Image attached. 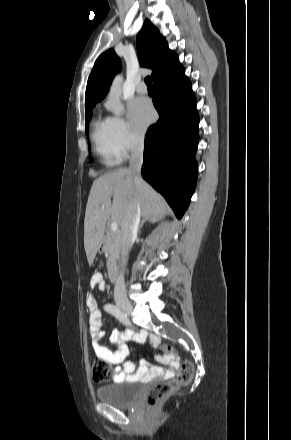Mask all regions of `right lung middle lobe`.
Here are the masks:
<instances>
[{
  "label": "right lung middle lobe",
  "instance_id": "right-lung-middle-lobe-1",
  "mask_svg": "<svg viewBox=\"0 0 291 440\" xmlns=\"http://www.w3.org/2000/svg\"><path fill=\"white\" fill-rule=\"evenodd\" d=\"M91 116H92V112L90 110H88L86 112V117H85V126H86V133L87 134H88V123H89V120L91 119Z\"/></svg>",
  "mask_w": 291,
  "mask_h": 440
}]
</instances>
